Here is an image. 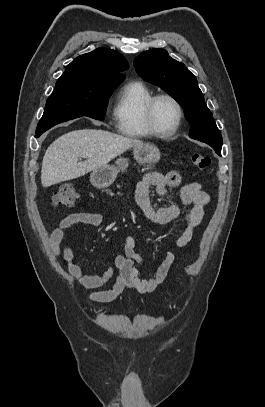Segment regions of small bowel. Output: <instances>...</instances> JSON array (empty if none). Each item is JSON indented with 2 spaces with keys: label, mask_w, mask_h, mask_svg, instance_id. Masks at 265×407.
<instances>
[{
  "label": "small bowel",
  "mask_w": 265,
  "mask_h": 407,
  "mask_svg": "<svg viewBox=\"0 0 265 407\" xmlns=\"http://www.w3.org/2000/svg\"><path fill=\"white\" fill-rule=\"evenodd\" d=\"M154 187L160 195L167 193L168 188H179L181 201L188 206L185 215L186 226L182 234L175 241L177 248L188 245L194 235L196 228L200 225L205 206L209 203V195L202 190L198 182L182 184V177L176 171L167 174L150 172L143 176L138 182L135 192V200L150 221L157 224H166L180 214L178 205H168L159 208L153 207L150 200V188ZM102 223V216L97 213L76 212L66 216L59 226L52 232L50 246L53 254L62 257L67 265V270L72 279L81 287L91 290L89 298L96 303H110L126 289H133L139 293H151L161 286L168 272L175 262V254L167 252L164 259L157 266L152 277L142 279L136 264L145 267L141 255L137 251V242L133 236H128L124 242V253L118 255L112 267L101 274H85L80 265L74 262V252L69 246L61 248L67 232L76 224H85L98 227ZM115 272L117 275L115 276ZM114 279L111 288L105 289Z\"/></svg>",
  "instance_id": "small-bowel-1"
}]
</instances>
